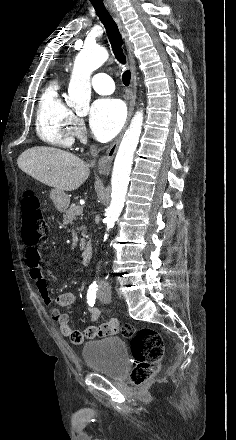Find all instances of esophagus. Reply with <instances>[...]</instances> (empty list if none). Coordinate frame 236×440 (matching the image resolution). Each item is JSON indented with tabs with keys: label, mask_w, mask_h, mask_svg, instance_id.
<instances>
[{
	"label": "esophagus",
	"mask_w": 236,
	"mask_h": 440,
	"mask_svg": "<svg viewBox=\"0 0 236 440\" xmlns=\"http://www.w3.org/2000/svg\"><path fill=\"white\" fill-rule=\"evenodd\" d=\"M105 5H106L107 9L109 10V12L111 13V15L113 16V18L119 28V31L122 35V38L124 39L127 53H128V58H129L130 69H131V83H130V89H129L128 117H127L126 125L123 129V132H124L128 122L130 120V117L133 113V109L135 106V100H136V92H137V76H136V64H135L134 50H133V45L129 39L128 31H127L126 27L124 26V24L122 23L121 17L116 9V6L114 5V3H112L108 0L106 1ZM123 132L115 140V142L110 146V148L107 150L105 155L102 156L101 159L99 160L98 170H99L100 174H102V175L109 174L110 168H111V163H112L114 155L117 151V148L120 143Z\"/></svg>",
	"instance_id": "1"
}]
</instances>
